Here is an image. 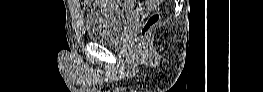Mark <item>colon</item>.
<instances>
[{
    "instance_id": "1",
    "label": "colon",
    "mask_w": 263,
    "mask_h": 92,
    "mask_svg": "<svg viewBox=\"0 0 263 92\" xmlns=\"http://www.w3.org/2000/svg\"><path fill=\"white\" fill-rule=\"evenodd\" d=\"M140 2H135V8L138 9V7L140 6ZM159 20V14L157 13H153L145 22L142 30H141V34L143 37H145L147 35V33L150 31V29L158 22ZM145 46L144 44L141 47V50H144Z\"/></svg>"
}]
</instances>
